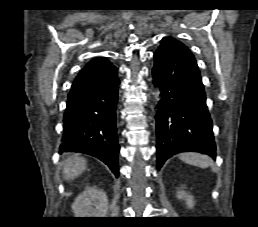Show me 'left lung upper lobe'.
<instances>
[{"label": "left lung upper lobe", "instance_id": "obj_1", "mask_svg": "<svg viewBox=\"0 0 258 227\" xmlns=\"http://www.w3.org/2000/svg\"><path fill=\"white\" fill-rule=\"evenodd\" d=\"M161 44H171L172 46L182 50L183 52L187 53L188 55L193 56V54L189 51V49L181 42L175 40L174 38L171 37H165L162 39Z\"/></svg>", "mask_w": 258, "mask_h": 227}]
</instances>
